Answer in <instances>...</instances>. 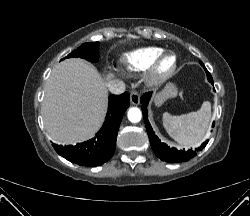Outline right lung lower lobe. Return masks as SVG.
Here are the masks:
<instances>
[{
    "label": "right lung lower lobe",
    "mask_w": 250,
    "mask_h": 216,
    "mask_svg": "<svg viewBox=\"0 0 250 216\" xmlns=\"http://www.w3.org/2000/svg\"><path fill=\"white\" fill-rule=\"evenodd\" d=\"M130 105L127 92L109 97L108 113L96 137L75 146L53 144L56 152L70 162L81 166L95 167L108 161L115 151L118 129L124 112Z\"/></svg>",
    "instance_id": "right-lung-lower-lobe-1"
}]
</instances>
